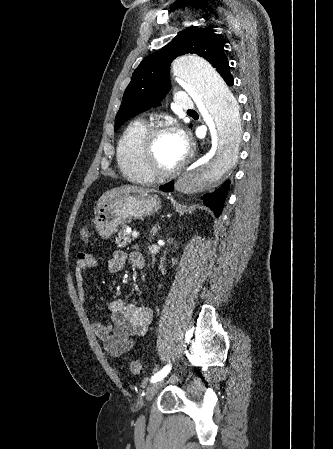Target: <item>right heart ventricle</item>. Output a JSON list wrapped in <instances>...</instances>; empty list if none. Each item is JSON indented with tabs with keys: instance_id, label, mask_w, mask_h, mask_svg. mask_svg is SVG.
Segmentation results:
<instances>
[{
	"instance_id": "e07e8e85",
	"label": "right heart ventricle",
	"mask_w": 333,
	"mask_h": 449,
	"mask_svg": "<svg viewBox=\"0 0 333 449\" xmlns=\"http://www.w3.org/2000/svg\"><path fill=\"white\" fill-rule=\"evenodd\" d=\"M147 127L142 120L132 121L122 133L116 149L118 167L124 177L142 184L153 181L144 171L140 157V143Z\"/></svg>"
}]
</instances>
